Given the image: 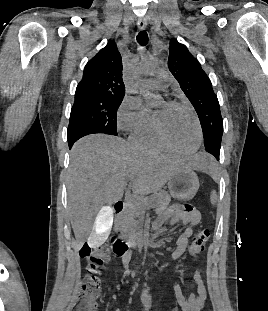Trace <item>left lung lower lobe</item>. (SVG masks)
<instances>
[{
    "instance_id": "left-lung-lower-lobe-1",
    "label": "left lung lower lobe",
    "mask_w": 268,
    "mask_h": 311,
    "mask_svg": "<svg viewBox=\"0 0 268 311\" xmlns=\"http://www.w3.org/2000/svg\"><path fill=\"white\" fill-rule=\"evenodd\" d=\"M207 152L212 154L217 160H219V155H220V149H215V148H205Z\"/></svg>"
}]
</instances>
